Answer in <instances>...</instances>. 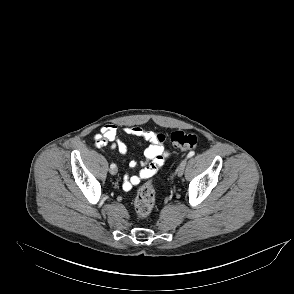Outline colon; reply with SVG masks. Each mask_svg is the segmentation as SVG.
I'll return each instance as SVG.
<instances>
[{
	"mask_svg": "<svg viewBox=\"0 0 294 294\" xmlns=\"http://www.w3.org/2000/svg\"><path fill=\"white\" fill-rule=\"evenodd\" d=\"M160 138L164 141L166 136L160 133ZM174 147L189 150L198 145V137L193 133L184 131H174L168 136ZM155 205V191L150 183H146L137 191L134 207L135 212L140 219H146L151 214Z\"/></svg>",
	"mask_w": 294,
	"mask_h": 294,
	"instance_id": "5ec220e1",
	"label": "colon"
}]
</instances>
